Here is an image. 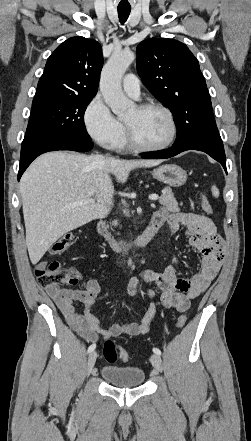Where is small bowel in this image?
Returning a JSON list of instances; mask_svg holds the SVG:
<instances>
[{"label": "small bowel", "mask_w": 251, "mask_h": 441, "mask_svg": "<svg viewBox=\"0 0 251 441\" xmlns=\"http://www.w3.org/2000/svg\"><path fill=\"white\" fill-rule=\"evenodd\" d=\"M153 217L160 221L161 225L166 223L172 235H175L181 227L185 229L190 246L202 254L200 271L190 279L183 278L177 273L178 260L173 258L171 264L163 271L146 270L140 278L131 279L128 286L129 293L136 294L140 280L155 283L162 291L161 304L165 308H172L183 313L189 309L190 301L201 295L216 278L223 259V241L214 223L203 215L169 213L162 209ZM43 265L44 263L40 264V266ZM45 290L54 300L70 327L87 342H97L99 337L143 335L148 332L156 311V304L152 302L141 322L116 323L105 329L92 313L100 292L97 280H85L80 289L48 286ZM147 295L151 299L154 298L152 291H148ZM77 303H81L83 308L79 309Z\"/></svg>", "instance_id": "small-bowel-1"}]
</instances>
